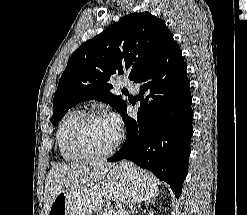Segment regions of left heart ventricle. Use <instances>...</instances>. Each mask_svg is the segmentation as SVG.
<instances>
[{
  "instance_id": "b2bd125f",
  "label": "left heart ventricle",
  "mask_w": 247,
  "mask_h": 215,
  "mask_svg": "<svg viewBox=\"0 0 247 215\" xmlns=\"http://www.w3.org/2000/svg\"><path fill=\"white\" fill-rule=\"evenodd\" d=\"M117 133L105 118L89 121L82 130L85 148L93 153L108 150L116 140Z\"/></svg>"
}]
</instances>
